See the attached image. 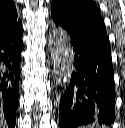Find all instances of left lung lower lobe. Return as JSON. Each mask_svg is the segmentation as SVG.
Masks as SVG:
<instances>
[{
  "instance_id": "0a47b994",
  "label": "left lung lower lobe",
  "mask_w": 125,
  "mask_h": 128,
  "mask_svg": "<svg viewBox=\"0 0 125 128\" xmlns=\"http://www.w3.org/2000/svg\"><path fill=\"white\" fill-rule=\"evenodd\" d=\"M68 34L74 70L60 100V128L110 125L115 119L116 97L110 44L73 32Z\"/></svg>"
}]
</instances>
